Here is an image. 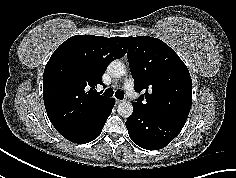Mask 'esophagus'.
<instances>
[{
	"label": "esophagus",
	"mask_w": 236,
	"mask_h": 178,
	"mask_svg": "<svg viewBox=\"0 0 236 178\" xmlns=\"http://www.w3.org/2000/svg\"><path fill=\"white\" fill-rule=\"evenodd\" d=\"M122 102H124V100L116 99V103H117V104H120V103H122Z\"/></svg>",
	"instance_id": "34e87169"
}]
</instances>
